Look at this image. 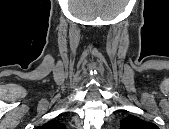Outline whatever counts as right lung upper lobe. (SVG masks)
Instances as JSON below:
<instances>
[{"mask_svg": "<svg viewBox=\"0 0 169 129\" xmlns=\"http://www.w3.org/2000/svg\"><path fill=\"white\" fill-rule=\"evenodd\" d=\"M43 129H64L65 125L61 124L60 122L56 120H51L48 123L41 126Z\"/></svg>", "mask_w": 169, "mask_h": 129, "instance_id": "cb5924a9", "label": "right lung upper lobe"}]
</instances>
